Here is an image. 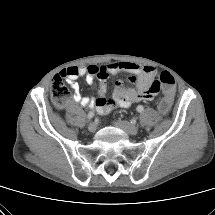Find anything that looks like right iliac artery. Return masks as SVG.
Masks as SVG:
<instances>
[{
    "instance_id": "right-iliac-artery-1",
    "label": "right iliac artery",
    "mask_w": 215,
    "mask_h": 215,
    "mask_svg": "<svg viewBox=\"0 0 215 215\" xmlns=\"http://www.w3.org/2000/svg\"><path fill=\"white\" fill-rule=\"evenodd\" d=\"M94 117V112L93 111H90L87 115V118L90 120Z\"/></svg>"
}]
</instances>
